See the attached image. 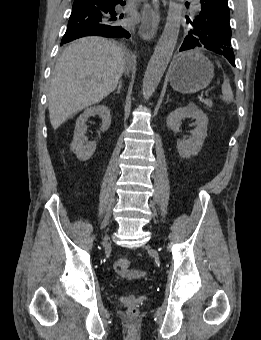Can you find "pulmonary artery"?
Listing matches in <instances>:
<instances>
[{
	"mask_svg": "<svg viewBox=\"0 0 261 340\" xmlns=\"http://www.w3.org/2000/svg\"><path fill=\"white\" fill-rule=\"evenodd\" d=\"M197 3H198L197 0H193V4L195 5V9H196V10H197V8H198V7H197Z\"/></svg>",
	"mask_w": 261,
	"mask_h": 340,
	"instance_id": "obj_1",
	"label": "pulmonary artery"
}]
</instances>
